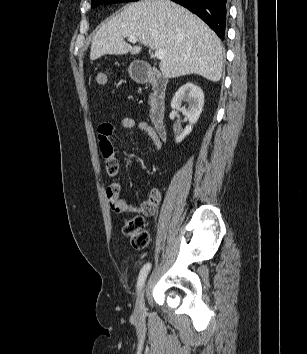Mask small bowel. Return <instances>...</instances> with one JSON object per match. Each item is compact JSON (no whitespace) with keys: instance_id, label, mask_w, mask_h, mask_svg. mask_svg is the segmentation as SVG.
I'll list each match as a JSON object with an SVG mask.
<instances>
[{"instance_id":"c3829d8e","label":"small bowel","mask_w":307,"mask_h":354,"mask_svg":"<svg viewBox=\"0 0 307 354\" xmlns=\"http://www.w3.org/2000/svg\"><path fill=\"white\" fill-rule=\"evenodd\" d=\"M121 126L125 129H138L146 133L152 140L156 150L162 148L163 140L156 132L155 128L146 121H137L134 118L125 117L121 120ZM115 131V125L111 122H104L99 126L100 148L105 161L107 174L113 179L106 189V195L110 206L115 209L119 206L131 213H142L144 215H153L160 203L161 193L158 189L152 188L148 199L141 204L124 199L120 196L121 184L118 181L119 161L115 155L110 137ZM102 143L106 144L102 146Z\"/></svg>"}]
</instances>
